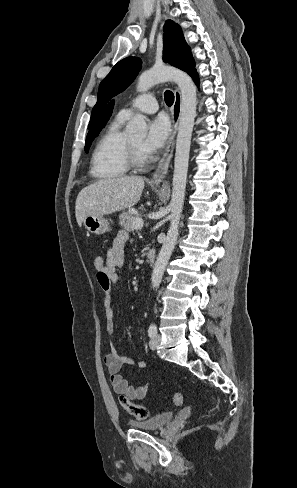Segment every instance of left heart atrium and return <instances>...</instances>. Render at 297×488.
<instances>
[{"label":"left heart atrium","instance_id":"left-heart-atrium-1","mask_svg":"<svg viewBox=\"0 0 297 488\" xmlns=\"http://www.w3.org/2000/svg\"><path fill=\"white\" fill-rule=\"evenodd\" d=\"M170 131V123L165 116L159 115L155 117L150 122L147 136L141 145L144 155H152L161 149L165 145L170 135Z\"/></svg>","mask_w":297,"mask_h":488}]
</instances>
